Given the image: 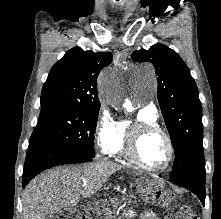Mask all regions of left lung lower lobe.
Returning <instances> with one entry per match:
<instances>
[{
	"instance_id": "obj_1",
	"label": "left lung lower lobe",
	"mask_w": 221,
	"mask_h": 219,
	"mask_svg": "<svg viewBox=\"0 0 221 219\" xmlns=\"http://www.w3.org/2000/svg\"><path fill=\"white\" fill-rule=\"evenodd\" d=\"M205 172L173 180L179 186H182L198 196L201 202L205 203Z\"/></svg>"
}]
</instances>
